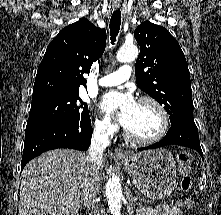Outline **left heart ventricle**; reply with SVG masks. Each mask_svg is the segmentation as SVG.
Returning <instances> with one entry per match:
<instances>
[{
    "label": "left heart ventricle",
    "mask_w": 221,
    "mask_h": 215,
    "mask_svg": "<svg viewBox=\"0 0 221 215\" xmlns=\"http://www.w3.org/2000/svg\"><path fill=\"white\" fill-rule=\"evenodd\" d=\"M160 124V117L154 106L149 103H137L126 128L135 136L148 138L158 133Z\"/></svg>",
    "instance_id": "1"
}]
</instances>
